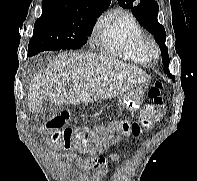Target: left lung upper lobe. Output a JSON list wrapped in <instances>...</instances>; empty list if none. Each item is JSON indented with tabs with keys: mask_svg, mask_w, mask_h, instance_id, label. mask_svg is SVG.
<instances>
[{
	"mask_svg": "<svg viewBox=\"0 0 197 181\" xmlns=\"http://www.w3.org/2000/svg\"><path fill=\"white\" fill-rule=\"evenodd\" d=\"M119 5L123 8L131 9L132 14L137 21L151 34L154 35L162 55V61L165 65V73L173 80L170 74L168 49L165 45L166 33L164 27L157 20L159 6L154 0H118Z\"/></svg>",
	"mask_w": 197,
	"mask_h": 181,
	"instance_id": "5c2ea615",
	"label": "left lung upper lobe"
}]
</instances>
